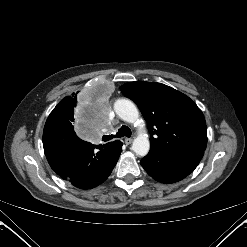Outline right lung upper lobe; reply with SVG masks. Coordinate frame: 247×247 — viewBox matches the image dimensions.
Wrapping results in <instances>:
<instances>
[{"label": "right lung upper lobe", "mask_w": 247, "mask_h": 247, "mask_svg": "<svg viewBox=\"0 0 247 247\" xmlns=\"http://www.w3.org/2000/svg\"><path fill=\"white\" fill-rule=\"evenodd\" d=\"M76 95H77V94L73 93L71 96L65 97L63 100H61V101L59 102V104L57 105V107H59V106H61V105H64V104H66V103H68V102H73V101H75V100H76ZM117 141H119V140H116V141H114V142H117Z\"/></svg>", "instance_id": "1"}]
</instances>
